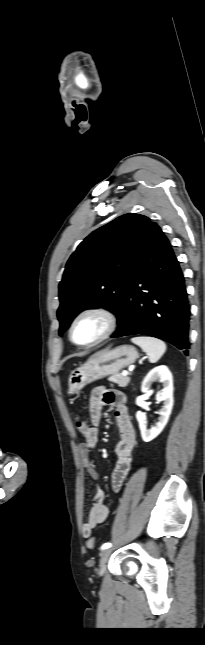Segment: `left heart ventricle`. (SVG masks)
I'll list each match as a JSON object with an SVG mask.
<instances>
[{"label":"left heart ventricle","instance_id":"obj_1","mask_svg":"<svg viewBox=\"0 0 205 645\" xmlns=\"http://www.w3.org/2000/svg\"><path fill=\"white\" fill-rule=\"evenodd\" d=\"M104 323L97 316L82 318L74 329V338L77 342L88 343L96 339L103 331Z\"/></svg>","mask_w":205,"mask_h":645}]
</instances>
